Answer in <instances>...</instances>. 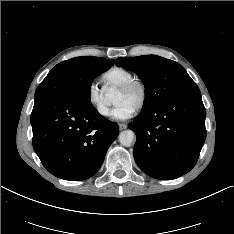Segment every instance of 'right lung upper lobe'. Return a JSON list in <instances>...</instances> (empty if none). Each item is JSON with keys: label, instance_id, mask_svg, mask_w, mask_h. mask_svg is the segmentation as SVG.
I'll list each match as a JSON object with an SVG mask.
<instances>
[{"label": "right lung upper lobe", "instance_id": "1", "mask_svg": "<svg viewBox=\"0 0 234 234\" xmlns=\"http://www.w3.org/2000/svg\"><path fill=\"white\" fill-rule=\"evenodd\" d=\"M83 59L91 63H102V64H110V65H113L115 61V60L104 59L101 57H83Z\"/></svg>", "mask_w": 234, "mask_h": 234}]
</instances>
